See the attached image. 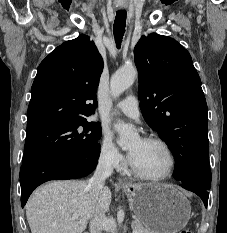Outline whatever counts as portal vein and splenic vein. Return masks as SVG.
Listing matches in <instances>:
<instances>
[{"mask_svg": "<svg viewBox=\"0 0 227 233\" xmlns=\"http://www.w3.org/2000/svg\"><path fill=\"white\" fill-rule=\"evenodd\" d=\"M78 218V215L77 214H74L73 216H72V219H77Z\"/></svg>", "mask_w": 227, "mask_h": 233, "instance_id": "portal-vein-and-splenic-vein-1", "label": "portal vein and splenic vein"}]
</instances>
